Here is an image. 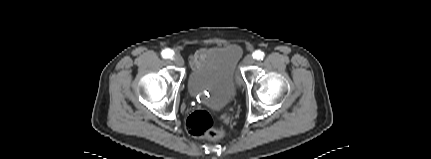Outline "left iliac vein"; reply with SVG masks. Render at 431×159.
<instances>
[{"label": "left iliac vein", "instance_id": "obj_1", "mask_svg": "<svg viewBox=\"0 0 431 159\" xmlns=\"http://www.w3.org/2000/svg\"><path fill=\"white\" fill-rule=\"evenodd\" d=\"M254 62H255V60H254L252 55H247L243 60L244 65H252ZM238 84H239V86L242 84L241 79L238 80Z\"/></svg>", "mask_w": 431, "mask_h": 159}]
</instances>
